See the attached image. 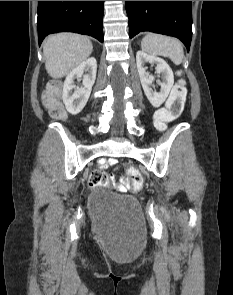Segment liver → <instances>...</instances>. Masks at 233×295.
<instances>
[{
  "instance_id": "obj_1",
  "label": "liver",
  "mask_w": 233,
  "mask_h": 295,
  "mask_svg": "<svg viewBox=\"0 0 233 295\" xmlns=\"http://www.w3.org/2000/svg\"><path fill=\"white\" fill-rule=\"evenodd\" d=\"M93 51L88 37L74 33H58L48 36L43 42L45 68L53 79L69 74L85 61Z\"/></svg>"
}]
</instances>
